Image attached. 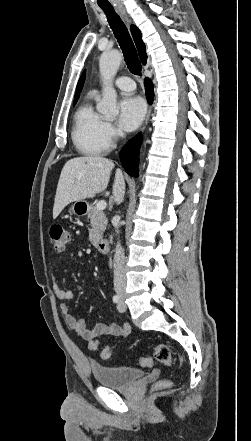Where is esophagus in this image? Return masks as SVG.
Masks as SVG:
<instances>
[{"label": "esophagus", "mask_w": 251, "mask_h": 441, "mask_svg": "<svg viewBox=\"0 0 251 441\" xmlns=\"http://www.w3.org/2000/svg\"><path fill=\"white\" fill-rule=\"evenodd\" d=\"M120 13H121V15L123 16V18H124L125 20H128L127 15L125 14L124 10H121V9H120ZM150 113H151V108H149V110H148V113H147V116H146V119H145V122H144V125H143L141 131L144 130V128H145V126H146V124H147V122H148V120H149Z\"/></svg>", "instance_id": "esophagus-1"}]
</instances>
